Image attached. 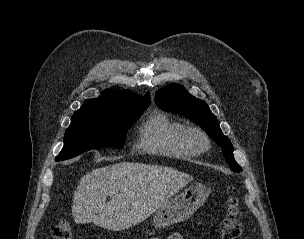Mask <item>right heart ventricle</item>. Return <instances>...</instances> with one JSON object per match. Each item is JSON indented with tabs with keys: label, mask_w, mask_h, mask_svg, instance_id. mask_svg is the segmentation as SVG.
<instances>
[{
	"label": "right heart ventricle",
	"mask_w": 304,
	"mask_h": 239,
	"mask_svg": "<svg viewBox=\"0 0 304 239\" xmlns=\"http://www.w3.org/2000/svg\"><path fill=\"white\" fill-rule=\"evenodd\" d=\"M185 126L165 113L154 112L138 128V145L143 151L172 158L189 159L195 155L180 140Z\"/></svg>",
	"instance_id": "e07e8e85"
}]
</instances>
